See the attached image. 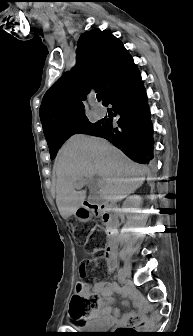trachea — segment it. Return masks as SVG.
I'll use <instances>...</instances> for the list:
<instances>
[{
	"label": "trachea",
	"mask_w": 193,
	"mask_h": 336,
	"mask_svg": "<svg viewBox=\"0 0 193 336\" xmlns=\"http://www.w3.org/2000/svg\"><path fill=\"white\" fill-rule=\"evenodd\" d=\"M101 95L100 94H97V99H98V101H101Z\"/></svg>",
	"instance_id": "obj_1"
}]
</instances>
